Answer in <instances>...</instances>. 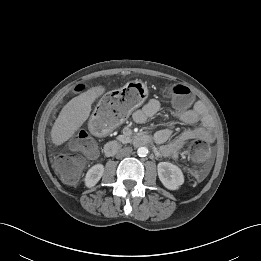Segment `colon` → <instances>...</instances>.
Here are the masks:
<instances>
[{
	"mask_svg": "<svg viewBox=\"0 0 261 261\" xmlns=\"http://www.w3.org/2000/svg\"><path fill=\"white\" fill-rule=\"evenodd\" d=\"M165 91L167 96L180 108L188 107L192 101L191 91L183 84H172ZM103 104L106 108L114 109L110 114L103 112L101 119L94 123V126L102 127L105 132L124 119L126 108L123 105L124 97L120 93L108 95ZM70 149L73 152L61 154L55 158L54 166L65 183L74 184L83 170V156H94L97 152V143L88 131L81 130L70 141ZM189 152L191 159L196 163L205 162L209 156L208 146L201 141L194 142Z\"/></svg>",
	"mask_w": 261,
	"mask_h": 261,
	"instance_id": "1",
	"label": "colon"
}]
</instances>
